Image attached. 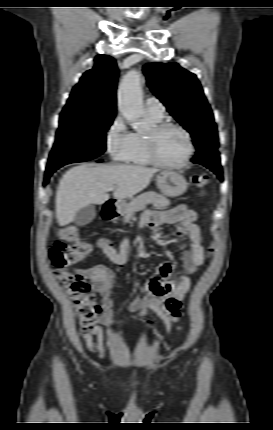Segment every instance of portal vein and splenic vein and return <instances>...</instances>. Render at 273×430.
<instances>
[{"instance_id": "1", "label": "portal vein and splenic vein", "mask_w": 273, "mask_h": 430, "mask_svg": "<svg viewBox=\"0 0 273 430\" xmlns=\"http://www.w3.org/2000/svg\"><path fill=\"white\" fill-rule=\"evenodd\" d=\"M114 189H115V187H114V186H111V187H109V188H108V190H109V191H112V190H114Z\"/></svg>"}]
</instances>
